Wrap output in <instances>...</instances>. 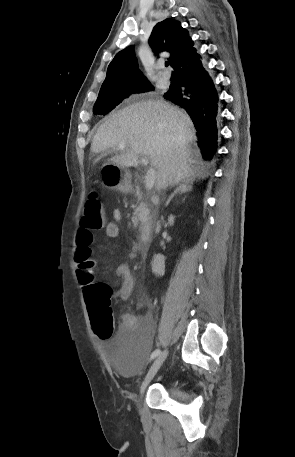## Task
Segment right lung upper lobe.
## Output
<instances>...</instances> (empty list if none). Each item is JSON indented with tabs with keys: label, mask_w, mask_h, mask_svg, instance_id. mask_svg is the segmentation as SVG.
<instances>
[{
	"label": "right lung upper lobe",
	"mask_w": 295,
	"mask_h": 457,
	"mask_svg": "<svg viewBox=\"0 0 295 457\" xmlns=\"http://www.w3.org/2000/svg\"><path fill=\"white\" fill-rule=\"evenodd\" d=\"M149 44L157 51L156 53L170 52L171 56L168 60L171 66L193 46L188 31L181 27L180 22L169 18L156 24L149 38ZM144 80L147 79L138 69L134 46H130L118 52L109 64L100 92Z\"/></svg>",
	"instance_id": "1"
}]
</instances>
